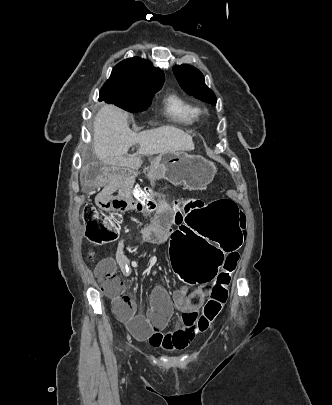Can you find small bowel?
Returning <instances> with one entry per match:
<instances>
[{
	"mask_svg": "<svg viewBox=\"0 0 332 405\" xmlns=\"http://www.w3.org/2000/svg\"><path fill=\"white\" fill-rule=\"evenodd\" d=\"M157 164V161L154 160L146 166L151 183H156L160 179ZM113 167L112 162H89L88 168L79 173L77 184L79 186H105L96 197L95 204L98 210L104 211L106 215H113L114 213L127 215L129 211H136L144 215L147 223L143 230V239L147 243H164L169 240L170 235L173 234L172 226L176 213L174 208H166L169 197L161 195L158 191L155 192L154 200L161 204V212L158 214L155 210L154 212H140L141 203L136 197H132L133 194L129 191V186L132 184V180L137 178V173L130 171V168ZM110 177H115V179L111 180ZM124 250L125 242L120 240L117 258H105L96 265L94 272L102 287L103 276L108 272H113L117 266L123 272L128 271ZM211 289V285L208 283V287H199L189 293L188 287L184 285L169 295L162 285H158L151 294L150 308L145 315L127 318L117 315L126 322L135 339L165 350L184 349L195 336L202 332L197 327L199 311ZM174 308L183 312L182 323L176 329L164 332Z\"/></svg>",
	"mask_w": 332,
	"mask_h": 405,
	"instance_id": "c3829d8e",
	"label": "small bowel"
}]
</instances>
